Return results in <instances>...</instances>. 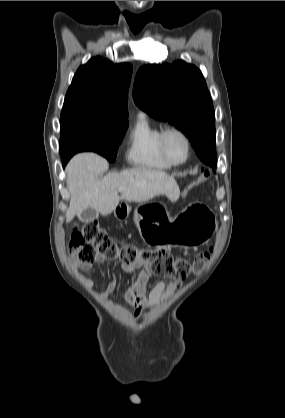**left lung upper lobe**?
<instances>
[{"instance_id": "1", "label": "left lung upper lobe", "mask_w": 285, "mask_h": 418, "mask_svg": "<svg viewBox=\"0 0 285 418\" xmlns=\"http://www.w3.org/2000/svg\"><path fill=\"white\" fill-rule=\"evenodd\" d=\"M133 98L147 114L181 130L200 159L217 167L215 112L198 68L182 60L143 66L135 78Z\"/></svg>"}]
</instances>
